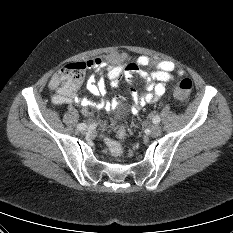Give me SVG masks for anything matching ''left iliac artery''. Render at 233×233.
I'll return each instance as SVG.
<instances>
[{
    "label": "left iliac artery",
    "mask_w": 233,
    "mask_h": 233,
    "mask_svg": "<svg viewBox=\"0 0 233 233\" xmlns=\"http://www.w3.org/2000/svg\"><path fill=\"white\" fill-rule=\"evenodd\" d=\"M160 116L159 115H156L154 118H153V123L154 124H158L160 122Z\"/></svg>",
    "instance_id": "1"
}]
</instances>
